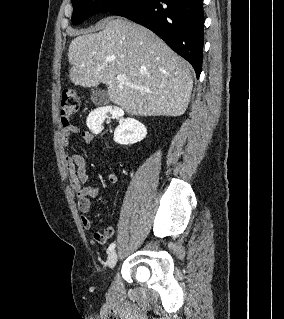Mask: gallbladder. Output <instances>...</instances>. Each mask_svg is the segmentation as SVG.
Listing matches in <instances>:
<instances>
[{"instance_id": "1", "label": "gallbladder", "mask_w": 284, "mask_h": 319, "mask_svg": "<svg viewBox=\"0 0 284 319\" xmlns=\"http://www.w3.org/2000/svg\"><path fill=\"white\" fill-rule=\"evenodd\" d=\"M91 100L96 105H106L110 102L107 91L101 89L92 90Z\"/></svg>"}]
</instances>
